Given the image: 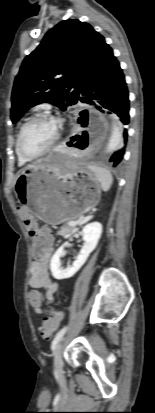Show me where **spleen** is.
Instances as JSON below:
<instances>
[{"label": "spleen", "instance_id": "3e777b00", "mask_svg": "<svg viewBox=\"0 0 155 413\" xmlns=\"http://www.w3.org/2000/svg\"><path fill=\"white\" fill-rule=\"evenodd\" d=\"M91 170L95 176L97 177L98 181L101 184V188L103 191H108L111 187L113 178L109 170L100 166L90 165L87 167Z\"/></svg>", "mask_w": 155, "mask_h": 413}]
</instances>
